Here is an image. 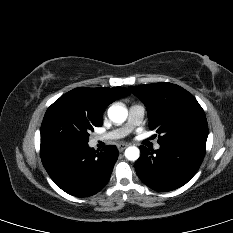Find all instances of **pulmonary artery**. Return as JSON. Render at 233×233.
<instances>
[{
    "instance_id": "obj_1",
    "label": "pulmonary artery",
    "mask_w": 233,
    "mask_h": 233,
    "mask_svg": "<svg viewBox=\"0 0 233 233\" xmlns=\"http://www.w3.org/2000/svg\"><path fill=\"white\" fill-rule=\"evenodd\" d=\"M145 114V108L140 104H133L129 108L128 120L122 127L112 130L106 134L97 137V140L107 141L116 140L125 137L134 127L138 126ZM160 145L156 144L155 149H159Z\"/></svg>"
}]
</instances>
